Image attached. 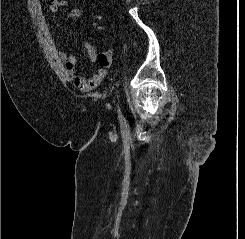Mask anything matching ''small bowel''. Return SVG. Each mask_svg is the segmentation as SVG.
Returning <instances> with one entry per match:
<instances>
[{
  "label": "small bowel",
  "mask_w": 245,
  "mask_h": 239,
  "mask_svg": "<svg viewBox=\"0 0 245 239\" xmlns=\"http://www.w3.org/2000/svg\"><path fill=\"white\" fill-rule=\"evenodd\" d=\"M52 4H48L50 8L51 13L58 12L60 7L67 6L68 1L67 0H54ZM81 10L79 8H72L68 14L67 17L70 19H78L81 17ZM83 47L87 53V56L89 60L92 63H96L99 65L98 69L95 71V73L90 77H84L81 75H77L75 73V66H76V57L67 54V53H61L60 59L63 65V68L65 72L71 77L74 85L81 91L87 92L95 89L98 87L106 78L108 74V68L112 64V55L110 52H102L98 53L96 48L88 43L84 42Z\"/></svg>",
  "instance_id": "small-bowel-1"
}]
</instances>
